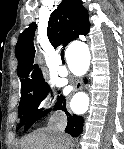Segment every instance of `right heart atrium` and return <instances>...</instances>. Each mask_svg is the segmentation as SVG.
I'll list each match as a JSON object with an SVG mask.
<instances>
[{
  "instance_id": "obj_1",
  "label": "right heart atrium",
  "mask_w": 124,
  "mask_h": 149,
  "mask_svg": "<svg viewBox=\"0 0 124 149\" xmlns=\"http://www.w3.org/2000/svg\"><path fill=\"white\" fill-rule=\"evenodd\" d=\"M52 102L48 99L43 100L38 106V113L40 116H46L50 113Z\"/></svg>"
}]
</instances>
